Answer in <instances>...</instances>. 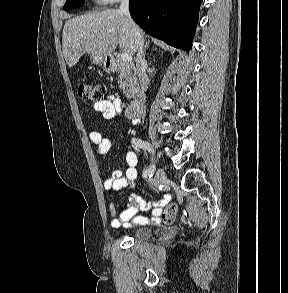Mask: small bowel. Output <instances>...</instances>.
Returning a JSON list of instances; mask_svg holds the SVG:
<instances>
[{
    "instance_id": "obj_1",
    "label": "small bowel",
    "mask_w": 288,
    "mask_h": 293,
    "mask_svg": "<svg viewBox=\"0 0 288 293\" xmlns=\"http://www.w3.org/2000/svg\"><path fill=\"white\" fill-rule=\"evenodd\" d=\"M94 110L100 112L104 120H110L125 111L131 118L133 124H137L139 120L138 113L134 112L131 107L127 109L125 101L114 95H108L103 100L94 103ZM89 140L95 147L96 153L100 156L107 154L111 150V140L105 137L101 131H92L89 135ZM125 160L127 164L126 170L113 171L112 177L104 182V190L108 195H111L115 191L130 187L133 181L137 178V154L133 151H129L125 156ZM168 200L169 196H165L159 202L147 204L138 194H131L129 197V203L120 212V215L111 221V226L114 228L127 226L130 220H132L134 224H147L149 222L147 218L136 216V214L139 208L145 209L151 207H153V217L151 218L150 223L158 224L160 222L159 216L162 212V207L168 202ZM108 209L112 216L116 215L117 209L112 199H109Z\"/></svg>"
}]
</instances>
